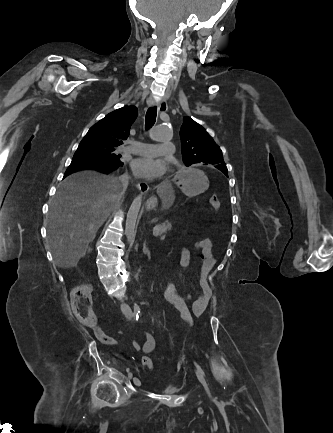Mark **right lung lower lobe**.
Wrapping results in <instances>:
<instances>
[{
  "mask_svg": "<svg viewBox=\"0 0 333 433\" xmlns=\"http://www.w3.org/2000/svg\"><path fill=\"white\" fill-rule=\"evenodd\" d=\"M123 163L120 164H109L104 162H99L95 160H74L72 159V162L70 166L68 167L67 171L64 174V177L68 176L69 174L76 172L78 170L82 169H97L101 171L102 173H110L119 167H121Z\"/></svg>",
  "mask_w": 333,
  "mask_h": 433,
  "instance_id": "obj_1",
  "label": "right lung lower lobe"
}]
</instances>
